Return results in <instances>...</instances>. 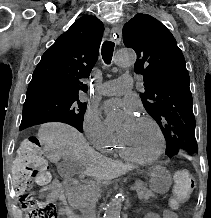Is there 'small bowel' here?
<instances>
[{
	"mask_svg": "<svg viewBox=\"0 0 211 218\" xmlns=\"http://www.w3.org/2000/svg\"><path fill=\"white\" fill-rule=\"evenodd\" d=\"M42 198L58 206L59 214L66 218H77L67 205L62 183L55 179L47 184L41 194ZM145 218H177L171 210H164L161 214L148 213Z\"/></svg>",
	"mask_w": 211,
	"mask_h": 218,
	"instance_id": "obj_1",
	"label": "small bowel"
}]
</instances>
